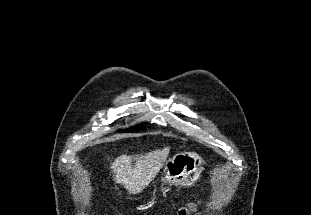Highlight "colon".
Masks as SVG:
<instances>
[{"instance_id": "obj_1", "label": "colon", "mask_w": 311, "mask_h": 215, "mask_svg": "<svg viewBox=\"0 0 311 215\" xmlns=\"http://www.w3.org/2000/svg\"><path fill=\"white\" fill-rule=\"evenodd\" d=\"M198 204H199V201H197V200L190 201L185 206H183L179 209L178 214L186 215L189 212L195 210Z\"/></svg>"}]
</instances>
